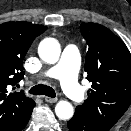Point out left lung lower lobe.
I'll return each instance as SVG.
<instances>
[{
  "instance_id": "obj_1",
  "label": "left lung lower lobe",
  "mask_w": 131,
  "mask_h": 131,
  "mask_svg": "<svg viewBox=\"0 0 131 131\" xmlns=\"http://www.w3.org/2000/svg\"><path fill=\"white\" fill-rule=\"evenodd\" d=\"M70 131H105L100 128L90 117L75 111L74 116L67 122Z\"/></svg>"
}]
</instances>
